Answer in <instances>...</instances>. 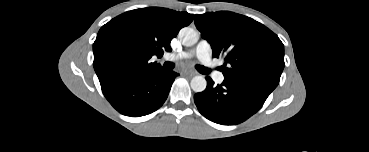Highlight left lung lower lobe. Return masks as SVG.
Wrapping results in <instances>:
<instances>
[{
  "label": "left lung lower lobe",
  "instance_id": "left-lung-lower-lobe-1",
  "mask_svg": "<svg viewBox=\"0 0 369 152\" xmlns=\"http://www.w3.org/2000/svg\"><path fill=\"white\" fill-rule=\"evenodd\" d=\"M207 87L194 95L199 112L210 121L222 125L244 122L255 114L272 92L266 88L225 80L221 85L207 77Z\"/></svg>",
  "mask_w": 369,
  "mask_h": 152
}]
</instances>
